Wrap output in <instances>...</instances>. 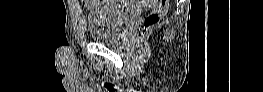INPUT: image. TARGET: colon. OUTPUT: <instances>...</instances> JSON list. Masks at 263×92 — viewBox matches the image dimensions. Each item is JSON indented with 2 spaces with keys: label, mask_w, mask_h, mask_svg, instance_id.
Returning <instances> with one entry per match:
<instances>
[{
  "label": "colon",
  "mask_w": 263,
  "mask_h": 92,
  "mask_svg": "<svg viewBox=\"0 0 263 92\" xmlns=\"http://www.w3.org/2000/svg\"><path fill=\"white\" fill-rule=\"evenodd\" d=\"M97 2V1H96ZM144 2H153L155 8L146 16L144 20V34L159 23L162 16L167 12L169 0H151Z\"/></svg>",
  "instance_id": "1"
}]
</instances>
